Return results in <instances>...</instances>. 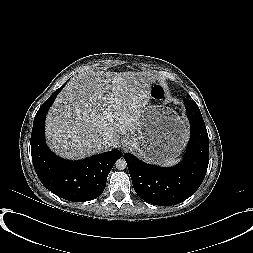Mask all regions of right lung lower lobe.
<instances>
[{
  "mask_svg": "<svg viewBox=\"0 0 253 253\" xmlns=\"http://www.w3.org/2000/svg\"><path fill=\"white\" fill-rule=\"evenodd\" d=\"M63 87L57 89L36 113L31 134L32 161L37 176L48 190L69 201H90L102 194L109 172L123 154L112 150L84 160L68 161L50 151L45 143V116Z\"/></svg>",
  "mask_w": 253,
  "mask_h": 253,
  "instance_id": "98d812e1",
  "label": "right lung lower lobe"
}]
</instances>
